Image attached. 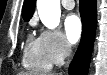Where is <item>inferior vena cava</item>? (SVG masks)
I'll list each match as a JSON object with an SVG mask.
<instances>
[{
  "mask_svg": "<svg viewBox=\"0 0 107 75\" xmlns=\"http://www.w3.org/2000/svg\"><path fill=\"white\" fill-rule=\"evenodd\" d=\"M64 54H65L66 58H69V56L72 54V49H71V46L69 45L68 42H65V45H64ZM68 65H69V59L67 60L66 67H68Z\"/></svg>",
  "mask_w": 107,
  "mask_h": 75,
  "instance_id": "1",
  "label": "inferior vena cava"
}]
</instances>
